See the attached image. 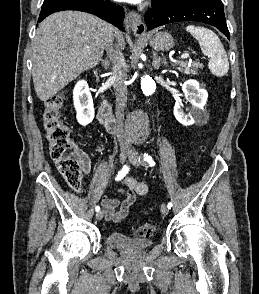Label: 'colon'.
<instances>
[{
  "label": "colon",
  "mask_w": 259,
  "mask_h": 294,
  "mask_svg": "<svg viewBox=\"0 0 259 294\" xmlns=\"http://www.w3.org/2000/svg\"><path fill=\"white\" fill-rule=\"evenodd\" d=\"M64 101L65 97L62 94L47 100L42 110V121L51 158L66 183L72 189L78 190L81 186L82 172L70 130L62 120L61 110ZM156 230L155 224L143 223L135 229L134 234L139 237H150Z\"/></svg>",
  "instance_id": "1"
}]
</instances>
